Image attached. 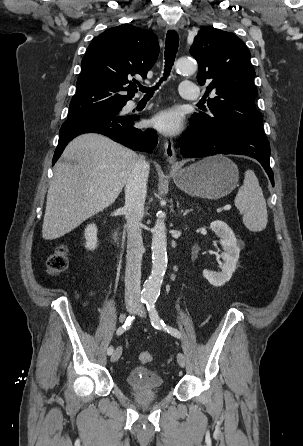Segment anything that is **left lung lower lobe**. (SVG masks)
Instances as JSON below:
<instances>
[{
  "label": "left lung lower lobe",
  "mask_w": 303,
  "mask_h": 446,
  "mask_svg": "<svg viewBox=\"0 0 303 446\" xmlns=\"http://www.w3.org/2000/svg\"><path fill=\"white\" fill-rule=\"evenodd\" d=\"M183 157L199 158L216 154H240L258 160L274 186L267 138L238 133L219 126H202L190 122L180 140Z\"/></svg>",
  "instance_id": "0a47b994"
}]
</instances>
